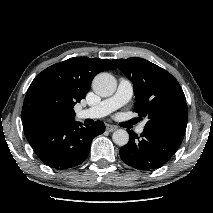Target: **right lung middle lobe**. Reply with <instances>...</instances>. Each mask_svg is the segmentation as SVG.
Instances as JSON below:
<instances>
[{"instance_id": "obj_1", "label": "right lung middle lobe", "mask_w": 213, "mask_h": 213, "mask_svg": "<svg viewBox=\"0 0 213 213\" xmlns=\"http://www.w3.org/2000/svg\"><path fill=\"white\" fill-rule=\"evenodd\" d=\"M53 107V104L51 102H42L39 103L36 107V113L38 116H44L46 115Z\"/></svg>"}]
</instances>
